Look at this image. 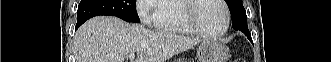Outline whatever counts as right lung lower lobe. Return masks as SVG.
Wrapping results in <instances>:
<instances>
[{
  "instance_id": "obj_1",
  "label": "right lung lower lobe",
  "mask_w": 331,
  "mask_h": 62,
  "mask_svg": "<svg viewBox=\"0 0 331 62\" xmlns=\"http://www.w3.org/2000/svg\"><path fill=\"white\" fill-rule=\"evenodd\" d=\"M79 27V25H76V28H78Z\"/></svg>"
}]
</instances>
